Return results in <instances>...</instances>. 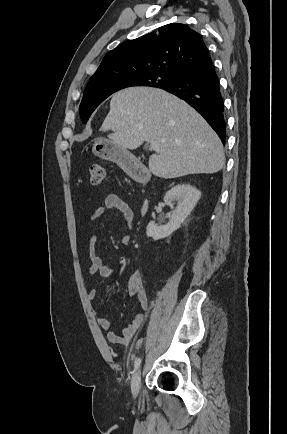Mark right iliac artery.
Returning <instances> with one entry per match:
<instances>
[{"instance_id": "obj_1", "label": "right iliac artery", "mask_w": 287, "mask_h": 434, "mask_svg": "<svg viewBox=\"0 0 287 434\" xmlns=\"http://www.w3.org/2000/svg\"><path fill=\"white\" fill-rule=\"evenodd\" d=\"M140 364H141V358L140 357L136 358L134 362V371H136L139 368Z\"/></svg>"}]
</instances>
